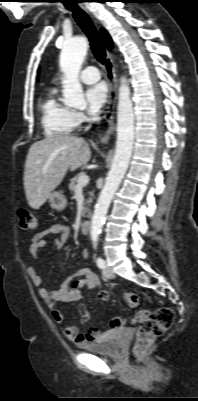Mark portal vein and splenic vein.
<instances>
[{
	"instance_id": "portal-vein-and-splenic-vein-1",
	"label": "portal vein and splenic vein",
	"mask_w": 198,
	"mask_h": 401,
	"mask_svg": "<svg viewBox=\"0 0 198 401\" xmlns=\"http://www.w3.org/2000/svg\"><path fill=\"white\" fill-rule=\"evenodd\" d=\"M88 183H89V176L88 175H83L78 180L77 188H82V187L86 186Z\"/></svg>"
}]
</instances>
